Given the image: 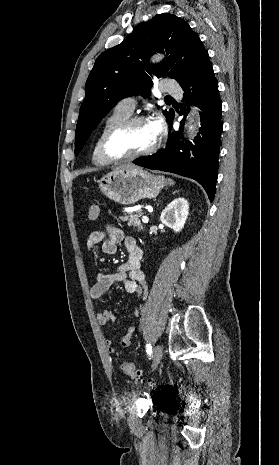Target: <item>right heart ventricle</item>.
<instances>
[{
	"instance_id": "right-heart-ventricle-1",
	"label": "right heart ventricle",
	"mask_w": 279,
	"mask_h": 465,
	"mask_svg": "<svg viewBox=\"0 0 279 465\" xmlns=\"http://www.w3.org/2000/svg\"><path fill=\"white\" fill-rule=\"evenodd\" d=\"M131 116V113L125 111L120 106H116L110 115L105 119L104 123L102 124L99 133L97 135L93 151H92V161L97 166H105L108 165L107 162L100 153V142L105 134V132L112 127L113 125L119 123L122 120H125Z\"/></svg>"
}]
</instances>
